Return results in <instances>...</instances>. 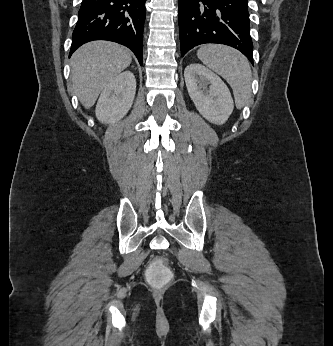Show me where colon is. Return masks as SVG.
Instances as JSON below:
<instances>
[{"label": "colon", "instance_id": "5ec220e1", "mask_svg": "<svg viewBox=\"0 0 333 346\" xmlns=\"http://www.w3.org/2000/svg\"><path fill=\"white\" fill-rule=\"evenodd\" d=\"M144 276L151 288H170V280L174 275L169 265L165 264V257H149L147 269H144Z\"/></svg>", "mask_w": 333, "mask_h": 346}]
</instances>
